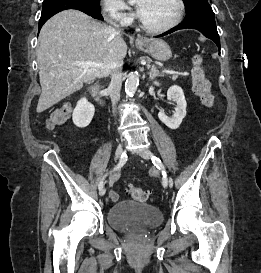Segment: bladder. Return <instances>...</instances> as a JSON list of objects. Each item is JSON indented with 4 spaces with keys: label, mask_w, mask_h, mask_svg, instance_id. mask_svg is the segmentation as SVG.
<instances>
[{
    "label": "bladder",
    "mask_w": 261,
    "mask_h": 273,
    "mask_svg": "<svg viewBox=\"0 0 261 273\" xmlns=\"http://www.w3.org/2000/svg\"><path fill=\"white\" fill-rule=\"evenodd\" d=\"M107 220L112 227L118 230H127L135 225L151 229L162 222L163 216L157 208L151 205L122 201L108 210Z\"/></svg>",
    "instance_id": "1"
}]
</instances>
